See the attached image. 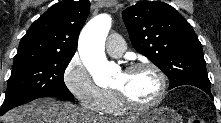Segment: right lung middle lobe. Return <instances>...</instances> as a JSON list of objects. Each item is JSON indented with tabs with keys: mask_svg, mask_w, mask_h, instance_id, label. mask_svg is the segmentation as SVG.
Instances as JSON below:
<instances>
[{
	"mask_svg": "<svg viewBox=\"0 0 221 123\" xmlns=\"http://www.w3.org/2000/svg\"><path fill=\"white\" fill-rule=\"evenodd\" d=\"M74 54L18 51L1 113L41 97L72 99L63 76Z\"/></svg>",
	"mask_w": 221,
	"mask_h": 123,
	"instance_id": "dd1d6c3e",
	"label": "right lung middle lobe"
}]
</instances>
